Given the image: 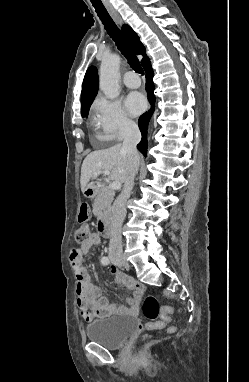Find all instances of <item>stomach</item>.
Wrapping results in <instances>:
<instances>
[{
  "label": "stomach",
  "mask_w": 249,
  "mask_h": 382,
  "mask_svg": "<svg viewBox=\"0 0 249 382\" xmlns=\"http://www.w3.org/2000/svg\"><path fill=\"white\" fill-rule=\"evenodd\" d=\"M94 194H95V191L93 188H86L85 191H84V195L88 198H93L94 197Z\"/></svg>",
  "instance_id": "stomach-1"
}]
</instances>
